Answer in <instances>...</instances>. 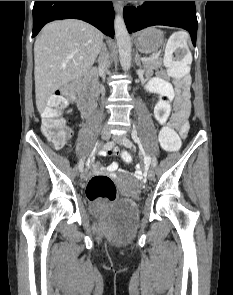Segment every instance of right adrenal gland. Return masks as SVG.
Here are the masks:
<instances>
[{
    "mask_svg": "<svg viewBox=\"0 0 233 295\" xmlns=\"http://www.w3.org/2000/svg\"><path fill=\"white\" fill-rule=\"evenodd\" d=\"M102 50H103V51H105V50H106V47H105V45H103V48H102ZM97 62H99V58H98Z\"/></svg>",
    "mask_w": 233,
    "mask_h": 295,
    "instance_id": "right-adrenal-gland-1",
    "label": "right adrenal gland"
}]
</instances>
